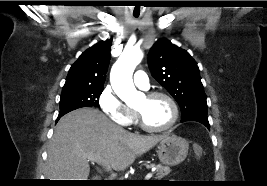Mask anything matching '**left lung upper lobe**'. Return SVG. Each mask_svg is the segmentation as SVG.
Masks as SVG:
<instances>
[{
    "label": "left lung upper lobe",
    "instance_id": "left-lung-upper-lobe-1",
    "mask_svg": "<svg viewBox=\"0 0 267 186\" xmlns=\"http://www.w3.org/2000/svg\"><path fill=\"white\" fill-rule=\"evenodd\" d=\"M148 63L154 79L178 102L182 122H208L200 71L186 50L166 39H159L150 49Z\"/></svg>",
    "mask_w": 267,
    "mask_h": 186
}]
</instances>
